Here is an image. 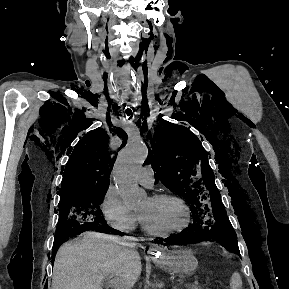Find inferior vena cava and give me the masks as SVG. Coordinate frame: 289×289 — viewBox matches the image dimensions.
Instances as JSON below:
<instances>
[{
	"label": "inferior vena cava",
	"instance_id": "1",
	"mask_svg": "<svg viewBox=\"0 0 289 289\" xmlns=\"http://www.w3.org/2000/svg\"><path fill=\"white\" fill-rule=\"evenodd\" d=\"M130 249H131V256H132L133 258L137 257V256H138V252L135 250L134 244H131V245H130ZM134 283H135V281H129V282L127 283L128 288L130 289V288L134 285Z\"/></svg>",
	"mask_w": 289,
	"mask_h": 289
}]
</instances>
